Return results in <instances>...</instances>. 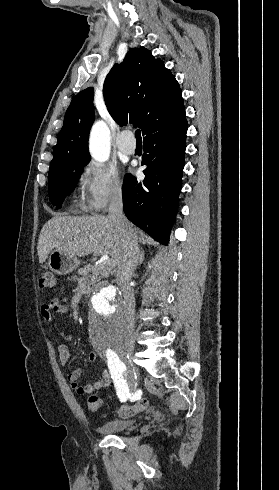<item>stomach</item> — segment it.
Masks as SVG:
<instances>
[{
  "instance_id": "0dacf381",
  "label": "stomach",
  "mask_w": 279,
  "mask_h": 490,
  "mask_svg": "<svg viewBox=\"0 0 279 490\" xmlns=\"http://www.w3.org/2000/svg\"><path fill=\"white\" fill-rule=\"evenodd\" d=\"M80 264L77 256H69V254H64V252H59V250H53L49 254L48 266L52 272L58 274V276H66V274H71L73 270H76Z\"/></svg>"
}]
</instances>
